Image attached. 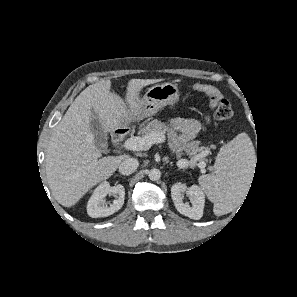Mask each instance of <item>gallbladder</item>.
<instances>
[{
	"label": "gallbladder",
	"instance_id": "bac80fb5",
	"mask_svg": "<svg viewBox=\"0 0 297 297\" xmlns=\"http://www.w3.org/2000/svg\"><path fill=\"white\" fill-rule=\"evenodd\" d=\"M92 134L94 135V143L101 150L105 151L107 148V137L104 128L101 125V122L97 118L96 114L93 113L92 121Z\"/></svg>",
	"mask_w": 297,
	"mask_h": 297
}]
</instances>
